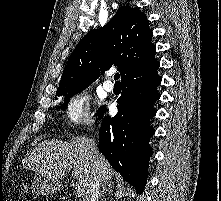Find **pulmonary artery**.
<instances>
[{
    "mask_svg": "<svg viewBox=\"0 0 221 201\" xmlns=\"http://www.w3.org/2000/svg\"><path fill=\"white\" fill-rule=\"evenodd\" d=\"M113 83L111 82V81H109V80H106V81H104V83H103V88L106 90V91H108V92H110V91H112L113 90Z\"/></svg>",
    "mask_w": 221,
    "mask_h": 201,
    "instance_id": "e3ab8cb5",
    "label": "pulmonary artery"
}]
</instances>
